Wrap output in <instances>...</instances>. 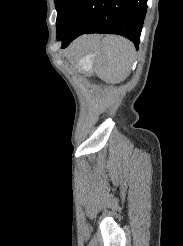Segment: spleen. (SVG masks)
Instances as JSON below:
<instances>
[{
  "instance_id": "1",
  "label": "spleen",
  "mask_w": 183,
  "mask_h": 246,
  "mask_svg": "<svg viewBox=\"0 0 183 246\" xmlns=\"http://www.w3.org/2000/svg\"><path fill=\"white\" fill-rule=\"evenodd\" d=\"M106 64L100 63L96 72L108 83H120L131 73L135 57V47L131 41L120 36L110 35L101 42ZM92 69L84 66L85 71Z\"/></svg>"
}]
</instances>
